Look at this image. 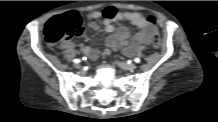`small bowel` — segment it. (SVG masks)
<instances>
[{"label":"small bowel","mask_w":218,"mask_h":122,"mask_svg":"<svg viewBox=\"0 0 218 122\" xmlns=\"http://www.w3.org/2000/svg\"><path fill=\"white\" fill-rule=\"evenodd\" d=\"M100 17H103L106 32L111 34L106 41L105 54H108L110 49H122L124 54L131 55L142 46L149 44L155 32L154 25L150 24L142 14L133 11H117L112 6L88 14L91 29L97 30L99 28L95 19ZM117 21L129 22L138 29V32L130 39V32L126 27L115 28L114 23ZM68 45L70 44H64V46ZM80 49L90 60H96L99 56V50L95 46L81 45Z\"/></svg>","instance_id":"1"}]
</instances>
